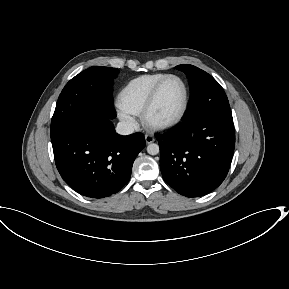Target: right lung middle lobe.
Here are the masks:
<instances>
[{"label":"right lung middle lobe","instance_id":"1","mask_svg":"<svg viewBox=\"0 0 289 289\" xmlns=\"http://www.w3.org/2000/svg\"><path fill=\"white\" fill-rule=\"evenodd\" d=\"M119 70L93 66L72 78L60 94L51 121V139L75 126L86 115L114 119L112 85Z\"/></svg>","mask_w":289,"mask_h":289}]
</instances>
